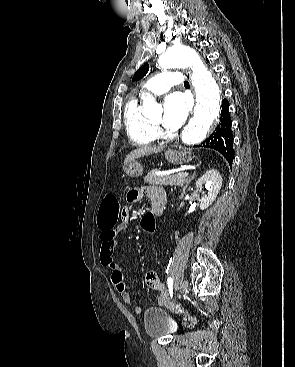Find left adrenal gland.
Segmentation results:
<instances>
[{
	"mask_svg": "<svg viewBox=\"0 0 295 367\" xmlns=\"http://www.w3.org/2000/svg\"><path fill=\"white\" fill-rule=\"evenodd\" d=\"M193 176H191L189 179H188V181L186 182V184L184 185V187H183V190H185L186 188H187V186H188V184L190 183V181H191V178H192Z\"/></svg>",
	"mask_w": 295,
	"mask_h": 367,
	"instance_id": "1",
	"label": "left adrenal gland"
}]
</instances>
